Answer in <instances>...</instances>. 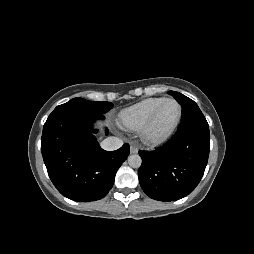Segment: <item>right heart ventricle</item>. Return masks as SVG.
<instances>
[{"mask_svg":"<svg viewBox=\"0 0 254 254\" xmlns=\"http://www.w3.org/2000/svg\"><path fill=\"white\" fill-rule=\"evenodd\" d=\"M163 99L164 97L147 98L123 109L118 116L119 125L132 131L140 130L152 111Z\"/></svg>","mask_w":254,"mask_h":254,"instance_id":"obj_1","label":"right heart ventricle"}]
</instances>
